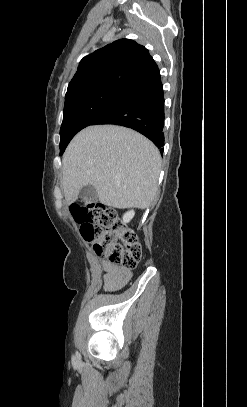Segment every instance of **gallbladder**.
<instances>
[{
  "instance_id": "obj_1",
  "label": "gallbladder",
  "mask_w": 247,
  "mask_h": 407,
  "mask_svg": "<svg viewBox=\"0 0 247 407\" xmlns=\"http://www.w3.org/2000/svg\"><path fill=\"white\" fill-rule=\"evenodd\" d=\"M80 197L83 198L87 203L96 202L98 200L97 191L92 185L84 186L80 191Z\"/></svg>"
}]
</instances>
